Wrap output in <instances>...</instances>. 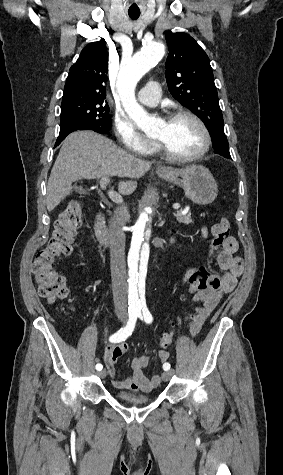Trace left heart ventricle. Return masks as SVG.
<instances>
[{
  "instance_id": "b2bd125f",
  "label": "left heart ventricle",
  "mask_w": 283,
  "mask_h": 475,
  "mask_svg": "<svg viewBox=\"0 0 283 475\" xmlns=\"http://www.w3.org/2000/svg\"><path fill=\"white\" fill-rule=\"evenodd\" d=\"M154 138L161 140L171 154L185 157L194 154L201 146L203 133L190 118L162 120Z\"/></svg>"
}]
</instances>
